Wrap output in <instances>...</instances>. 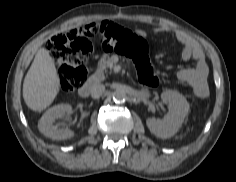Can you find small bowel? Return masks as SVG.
<instances>
[{"label": "small bowel", "mask_w": 236, "mask_h": 182, "mask_svg": "<svg viewBox=\"0 0 236 182\" xmlns=\"http://www.w3.org/2000/svg\"><path fill=\"white\" fill-rule=\"evenodd\" d=\"M157 32H168V27L156 28ZM177 41L183 46L181 56L184 60L194 59V67L183 68L178 71L179 81L188 84L193 94L198 98H205L209 94L208 74L209 67L206 62L205 53L200 44L183 33H176Z\"/></svg>", "instance_id": "c3829d8e"}]
</instances>
